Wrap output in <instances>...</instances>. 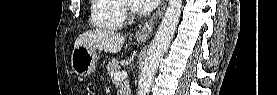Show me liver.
Wrapping results in <instances>:
<instances>
[{
    "mask_svg": "<svg viewBox=\"0 0 277 95\" xmlns=\"http://www.w3.org/2000/svg\"><path fill=\"white\" fill-rule=\"evenodd\" d=\"M124 36L109 30H94L81 34L75 41L74 48L86 46L115 54L121 51Z\"/></svg>",
    "mask_w": 277,
    "mask_h": 95,
    "instance_id": "6515ba94",
    "label": "liver"
}]
</instances>
